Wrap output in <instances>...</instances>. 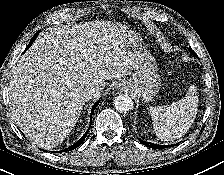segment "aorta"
<instances>
[{"instance_id":"762f6f07","label":"aorta","mask_w":224,"mask_h":175,"mask_svg":"<svg viewBox=\"0 0 224 175\" xmlns=\"http://www.w3.org/2000/svg\"><path fill=\"white\" fill-rule=\"evenodd\" d=\"M114 107L118 112L126 113L133 109V101L128 95L120 94L114 99Z\"/></svg>"}]
</instances>
